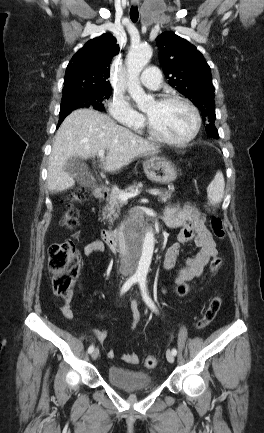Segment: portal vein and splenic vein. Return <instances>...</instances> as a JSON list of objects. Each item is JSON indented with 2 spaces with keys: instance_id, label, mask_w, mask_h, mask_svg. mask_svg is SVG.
<instances>
[{
  "instance_id": "obj_1",
  "label": "portal vein and splenic vein",
  "mask_w": 264,
  "mask_h": 433,
  "mask_svg": "<svg viewBox=\"0 0 264 433\" xmlns=\"http://www.w3.org/2000/svg\"><path fill=\"white\" fill-rule=\"evenodd\" d=\"M98 155L100 158H104V150H99L98 151ZM140 192L138 190L134 191V192H129V193H119L118 197L121 201L126 202L129 198L135 197L139 194ZM150 194L152 195H158L159 194V190H151L149 191Z\"/></svg>"
}]
</instances>
